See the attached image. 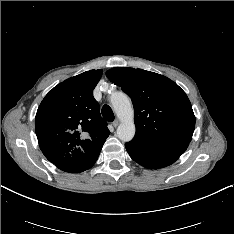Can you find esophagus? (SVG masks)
<instances>
[{
  "label": "esophagus",
  "instance_id": "34e87169",
  "mask_svg": "<svg viewBox=\"0 0 234 234\" xmlns=\"http://www.w3.org/2000/svg\"><path fill=\"white\" fill-rule=\"evenodd\" d=\"M112 125H113L114 127H117V126L119 125V120H118V119L114 120V121L112 122Z\"/></svg>",
  "mask_w": 234,
  "mask_h": 234
}]
</instances>
